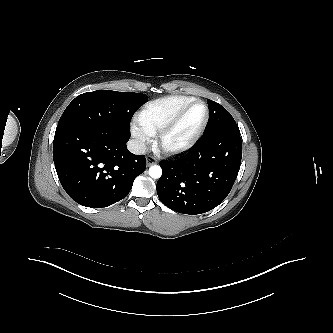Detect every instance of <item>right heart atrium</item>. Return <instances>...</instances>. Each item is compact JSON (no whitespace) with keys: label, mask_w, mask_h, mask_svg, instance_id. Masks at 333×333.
I'll list each match as a JSON object with an SVG mask.
<instances>
[{"label":"right heart atrium","mask_w":333,"mask_h":333,"mask_svg":"<svg viewBox=\"0 0 333 333\" xmlns=\"http://www.w3.org/2000/svg\"><path fill=\"white\" fill-rule=\"evenodd\" d=\"M130 131L132 136L136 139L139 147H143L149 140V134L138 124L137 121H134L131 124Z\"/></svg>","instance_id":"right-heart-atrium-1"}]
</instances>
